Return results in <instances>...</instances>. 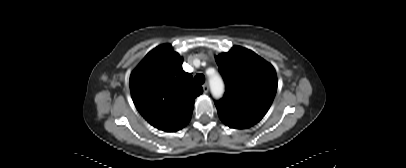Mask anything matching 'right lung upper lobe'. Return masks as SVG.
Here are the masks:
<instances>
[{
	"mask_svg": "<svg viewBox=\"0 0 406 168\" xmlns=\"http://www.w3.org/2000/svg\"><path fill=\"white\" fill-rule=\"evenodd\" d=\"M182 58L171 45L149 52L130 77L133 102L154 127L175 132L190 120L195 98L203 88L182 69Z\"/></svg>",
	"mask_w": 406,
	"mask_h": 168,
	"instance_id": "right-lung-upper-lobe-1",
	"label": "right lung upper lobe"
}]
</instances>
